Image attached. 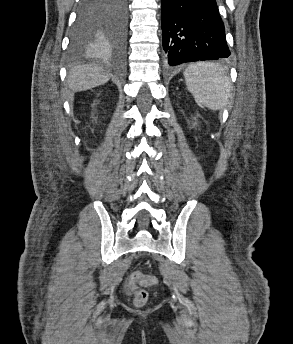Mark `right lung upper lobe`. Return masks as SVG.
<instances>
[{"label": "right lung upper lobe", "instance_id": "right-lung-upper-lobe-1", "mask_svg": "<svg viewBox=\"0 0 293 344\" xmlns=\"http://www.w3.org/2000/svg\"><path fill=\"white\" fill-rule=\"evenodd\" d=\"M104 45H107V43L105 42V43H103Z\"/></svg>", "mask_w": 293, "mask_h": 344}]
</instances>
